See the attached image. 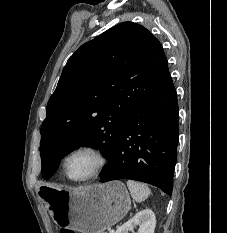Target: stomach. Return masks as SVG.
Listing matches in <instances>:
<instances>
[{
  "label": "stomach",
  "instance_id": "0dacf381",
  "mask_svg": "<svg viewBox=\"0 0 227 233\" xmlns=\"http://www.w3.org/2000/svg\"><path fill=\"white\" fill-rule=\"evenodd\" d=\"M45 201L55 223L62 229L104 233L128 213L131 199L122 182L70 190L44 186Z\"/></svg>",
  "mask_w": 227,
  "mask_h": 233
}]
</instances>
